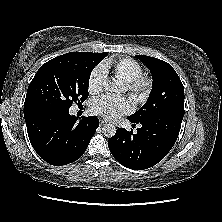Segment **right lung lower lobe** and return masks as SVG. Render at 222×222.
Here are the masks:
<instances>
[{"instance_id": "1", "label": "right lung lower lobe", "mask_w": 222, "mask_h": 222, "mask_svg": "<svg viewBox=\"0 0 222 222\" xmlns=\"http://www.w3.org/2000/svg\"><path fill=\"white\" fill-rule=\"evenodd\" d=\"M29 140L37 154L51 165L79 159L99 127L96 116L77 121L69 110L36 112L25 118Z\"/></svg>"}]
</instances>
